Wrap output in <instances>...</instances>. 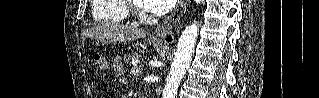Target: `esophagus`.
Wrapping results in <instances>:
<instances>
[{"instance_id": "1", "label": "esophagus", "mask_w": 319, "mask_h": 98, "mask_svg": "<svg viewBox=\"0 0 319 98\" xmlns=\"http://www.w3.org/2000/svg\"><path fill=\"white\" fill-rule=\"evenodd\" d=\"M186 6L187 1H178L173 12L157 26L154 32V36L167 44L173 43L175 40V34L173 30L180 23L186 11Z\"/></svg>"}]
</instances>
